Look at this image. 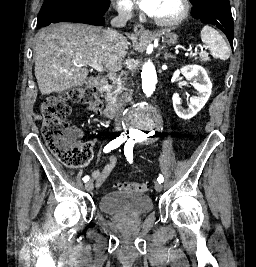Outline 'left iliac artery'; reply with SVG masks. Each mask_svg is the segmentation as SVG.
Here are the masks:
<instances>
[{
	"label": "left iliac artery",
	"mask_w": 256,
	"mask_h": 267,
	"mask_svg": "<svg viewBox=\"0 0 256 267\" xmlns=\"http://www.w3.org/2000/svg\"><path fill=\"white\" fill-rule=\"evenodd\" d=\"M133 146H134V142H132L131 140H127L124 146V154L127 160L129 161V163L133 162ZM157 181L162 183L164 181L163 176L159 175V177L157 178Z\"/></svg>",
	"instance_id": "left-iliac-artery-1"
}]
</instances>
